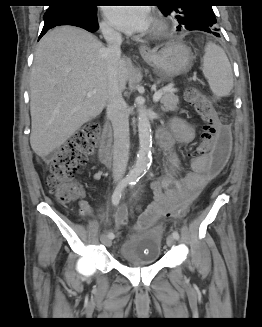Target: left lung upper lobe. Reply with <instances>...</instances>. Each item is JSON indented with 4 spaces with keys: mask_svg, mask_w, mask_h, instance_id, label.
Instances as JSON below:
<instances>
[{
    "mask_svg": "<svg viewBox=\"0 0 262 327\" xmlns=\"http://www.w3.org/2000/svg\"><path fill=\"white\" fill-rule=\"evenodd\" d=\"M186 3V1H177ZM160 11L166 17L172 18L177 24V30H200L218 34L216 17L210 5H161Z\"/></svg>",
    "mask_w": 262,
    "mask_h": 327,
    "instance_id": "5c2ea615",
    "label": "left lung upper lobe"
}]
</instances>
